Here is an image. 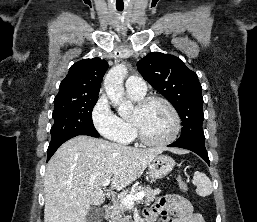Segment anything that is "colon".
<instances>
[{
    "label": "colon",
    "instance_id": "1",
    "mask_svg": "<svg viewBox=\"0 0 257 222\" xmlns=\"http://www.w3.org/2000/svg\"><path fill=\"white\" fill-rule=\"evenodd\" d=\"M177 183H178L179 188L182 191H184V192L187 191V183L181 177H179L177 179Z\"/></svg>",
    "mask_w": 257,
    "mask_h": 222
}]
</instances>
